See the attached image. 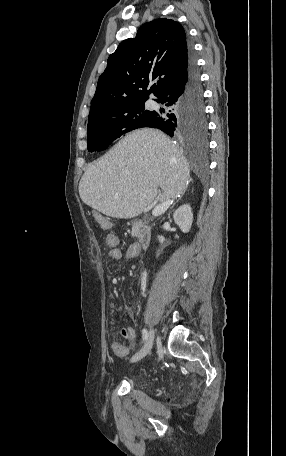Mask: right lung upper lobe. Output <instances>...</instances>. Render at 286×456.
Returning <instances> with one entry per match:
<instances>
[{
	"instance_id": "right-lung-upper-lobe-1",
	"label": "right lung upper lobe",
	"mask_w": 286,
	"mask_h": 456,
	"mask_svg": "<svg viewBox=\"0 0 286 456\" xmlns=\"http://www.w3.org/2000/svg\"><path fill=\"white\" fill-rule=\"evenodd\" d=\"M191 53L180 23L159 18L144 24L109 56L88 120L112 106L157 97L186 76Z\"/></svg>"
}]
</instances>
